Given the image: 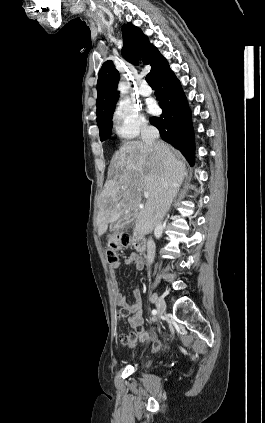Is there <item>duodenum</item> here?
<instances>
[{
  "mask_svg": "<svg viewBox=\"0 0 265 423\" xmlns=\"http://www.w3.org/2000/svg\"><path fill=\"white\" fill-rule=\"evenodd\" d=\"M132 242H133L135 249L139 253L143 254L146 251V241L140 233H138V232L134 233L133 238H132Z\"/></svg>",
  "mask_w": 265,
  "mask_h": 423,
  "instance_id": "duodenum-1",
  "label": "duodenum"
}]
</instances>
